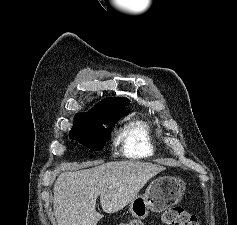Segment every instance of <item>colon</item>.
Returning a JSON list of instances; mask_svg holds the SVG:
<instances>
[{"instance_id": "obj_1", "label": "colon", "mask_w": 237, "mask_h": 225, "mask_svg": "<svg viewBox=\"0 0 237 225\" xmlns=\"http://www.w3.org/2000/svg\"><path fill=\"white\" fill-rule=\"evenodd\" d=\"M160 221L164 225H200L198 218L181 206L167 209L161 215ZM118 225H143V223L137 219H127Z\"/></svg>"}]
</instances>
